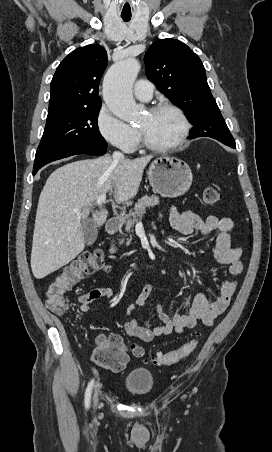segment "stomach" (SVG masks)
<instances>
[{
	"label": "stomach",
	"mask_w": 272,
	"mask_h": 452,
	"mask_svg": "<svg viewBox=\"0 0 272 452\" xmlns=\"http://www.w3.org/2000/svg\"><path fill=\"white\" fill-rule=\"evenodd\" d=\"M147 175L153 191L168 198L183 195L193 180L191 169L183 160L167 155L153 160Z\"/></svg>",
	"instance_id": "0dacf381"
}]
</instances>
